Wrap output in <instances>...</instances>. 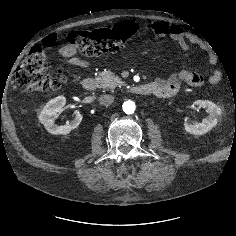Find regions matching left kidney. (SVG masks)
I'll list each match as a JSON object with an SVG mask.
<instances>
[{"label": "left kidney", "mask_w": 236, "mask_h": 236, "mask_svg": "<svg viewBox=\"0 0 236 236\" xmlns=\"http://www.w3.org/2000/svg\"><path fill=\"white\" fill-rule=\"evenodd\" d=\"M195 105L206 109L208 112L207 118L203 119L201 123L193 125L185 120L184 128L186 132L193 135H202L209 132L218 122L219 116L222 114V110L219 106L208 100H197Z\"/></svg>", "instance_id": "5707ae66"}]
</instances>
